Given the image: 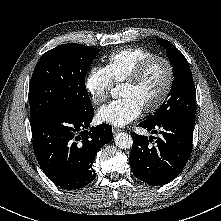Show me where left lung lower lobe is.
I'll return each instance as SVG.
<instances>
[{
	"label": "left lung lower lobe",
	"instance_id": "0a47b994",
	"mask_svg": "<svg viewBox=\"0 0 221 221\" xmlns=\"http://www.w3.org/2000/svg\"><path fill=\"white\" fill-rule=\"evenodd\" d=\"M195 119L175 117L164 122L143 121L148 132L159 131L160 138L132 134L130 165L133 174L147 184L157 186L176 178L187 163L191 150ZM158 130V131H157Z\"/></svg>",
	"mask_w": 221,
	"mask_h": 221
}]
</instances>
